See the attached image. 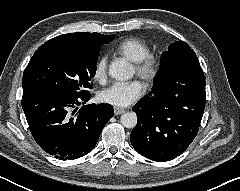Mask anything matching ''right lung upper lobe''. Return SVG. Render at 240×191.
I'll return each mask as SVG.
<instances>
[{
	"instance_id": "obj_1",
	"label": "right lung upper lobe",
	"mask_w": 240,
	"mask_h": 191,
	"mask_svg": "<svg viewBox=\"0 0 240 191\" xmlns=\"http://www.w3.org/2000/svg\"><path fill=\"white\" fill-rule=\"evenodd\" d=\"M115 35H103L99 33L79 32L57 36L45 42L42 46L57 45L77 50H97L101 45L111 42Z\"/></svg>"
}]
</instances>
